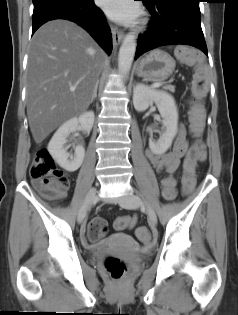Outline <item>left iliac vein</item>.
<instances>
[{"label":"left iliac vein","mask_w":238,"mask_h":315,"mask_svg":"<svg viewBox=\"0 0 238 315\" xmlns=\"http://www.w3.org/2000/svg\"><path fill=\"white\" fill-rule=\"evenodd\" d=\"M142 204L145 206L150 225L155 226L157 224V215H156L155 211L153 210V208L150 205L143 202L139 196L132 194V193H129L126 196L120 198V200H119V205L121 207L127 208V209L137 208Z\"/></svg>","instance_id":"4c4485c4"}]
</instances>
